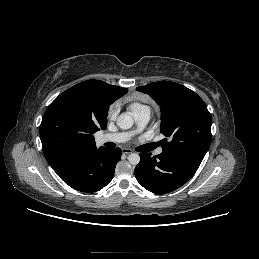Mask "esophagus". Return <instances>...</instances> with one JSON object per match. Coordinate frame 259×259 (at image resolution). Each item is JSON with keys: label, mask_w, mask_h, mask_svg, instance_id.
<instances>
[{"label": "esophagus", "mask_w": 259, "mask_h": 259, "mask_svg": "<svg viewBox=\"0 0 259 259\" xmlns=\"http://www.w3.org/2000/svg\"><path fill=\"white\" fill-rule=\"evenodd\" d=\"M133 151L131 150V149H128V148H123L122 149V153L123 154H126V155H128V154H131Z\"/></svg>", "instance_id": "obj_1"}]
</instances>
